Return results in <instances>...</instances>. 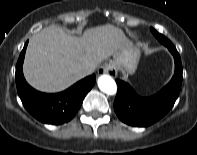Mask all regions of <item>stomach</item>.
<instances>
[{
  "label": "stomach",
  "mask_w": 197,
  "mask_h": 155,
  "mask_svg": "<svg viewBox=\"0 0 197 155\" xmlns=\"http://www.w3.org/2000/svg\"><path fill=\"white\" fill-rule=\"evenodd\" d=\"M139 58V49L128 44L116 56H114L113 63L118 70L133 74L137 69Z\"/></svg>",
  "instance_id": "1"
}]
</instances>
